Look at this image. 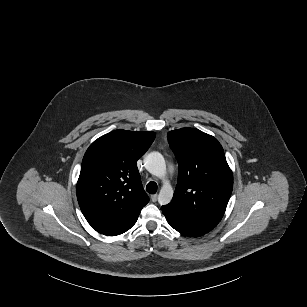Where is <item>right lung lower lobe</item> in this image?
Segmentation results:
<instances>
[{
    "mask_svg": "<svg viewBox=\"0 0 307 307\" xmlns=\"http://www.w3.org/2000/svg\"><path fill=\"white\" fill-rule=\"evenodd\" d=\"M137 218L135 220H133L129 225H127L124 229L120 230L119 232H117L114 235H119V234H122V233L126 232L127 230H129L136 223Z\"/></svg>",
    "mask_w": 307,
    "mask_h": 307,
    "instance_id": "right-lung-lower-lobe-1",
    "label": "right lung lower lobe"
}]
</instances>
